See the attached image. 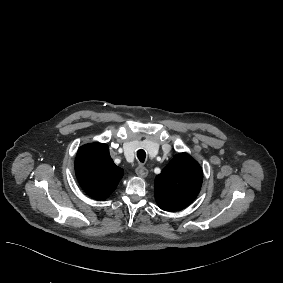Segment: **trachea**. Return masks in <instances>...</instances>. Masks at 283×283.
I'll return each mask as SVG.
<instances>
[{
    "label": "trachea",
    "mask_w": 283,
    "mask_h": 283,
    "mask_svg": "<svg viewBox=\"0 0 283 283\" xmlns=\"http://www.w3.org/2000/svg\"><path fill=\"white\" fill-rule=\"evenodd\" d=\"M137 158L141 163H143L146 159V152L143 149L138 150Z\"/></svg>",
    "instance_id": "obj_1"
}]
</instances>
